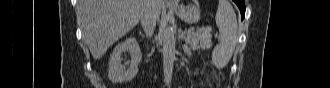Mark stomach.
Segmentation results:
<instances>
[{
	"instance_id": "1",
	"label": "stomach",
	"mask_w": 330,
	"mask_h": 88,
	"mask_svg": "<svg viewBox=\"0 0 330 88\" xmlns=\"http://www.w3.org/2000/svg\"><path fill=\"white\" fill-rule=\"evenodd\" d=\"M177 16L186 23H196L200 20L201 12L198 4L179 5L174 9Z\"/></svg>"
}]
</instances>
